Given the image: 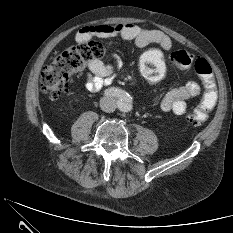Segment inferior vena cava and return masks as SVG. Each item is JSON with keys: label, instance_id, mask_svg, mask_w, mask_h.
<instances>
[{"label": "inferior vena cava", "instance_id": "602c4592", "mask_svg": "<svg viewBox=\"0 0 233 233\" xmlns=\"http://www.w3.org/2000/svg\"><path fill=\"white\" fill-rule=\"evenodd\" d=\"M100 107L107 113L114 112L117 107V102L113 97H104L100 101Z\"/></svg>", "mask_w": 233, "mask_h": 233}]
</instances>
